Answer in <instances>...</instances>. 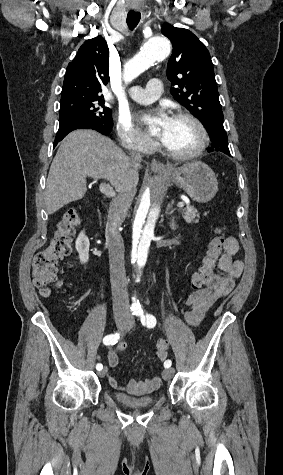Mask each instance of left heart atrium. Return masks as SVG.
I'll use <instances>...</instances> for the list:
<instances>
[{"label":"left heart atrium","instance_id":"left-heart-atrium-1","mask_svg":"<svg viewBox=\"0 0 283 475\" xmlns=\"http://www.w3.org/2000/svg\"><path fill=\"white\" fill-rule=\"evenodd\" d=\"M142 121L144 123H153L161 137L166 136V130L170 125L171 118L167 115V113L163 110L158 111L154 114H146L142 117Z\"/></svg>","mask_w":283,"mask_h":475}]
</instances>
